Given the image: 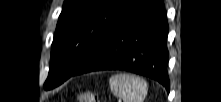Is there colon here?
I'll return each instance as SVG.
<instances>
[{
  "label": "colon",
  "instance_id": "1",
  "mask_svg": "<svg viewBox=\"0 0 221 102\" xmlns=\"http://www.w3.org/2000/svg\"><path fill=\"white\" fill-rule=\"evenodd\" d=\"M78 102H99V98L96 93L85 90L79 93Z\"/></svg>",
  "mask_w": 221,
  "mask_h": 102
}]
</instances>
